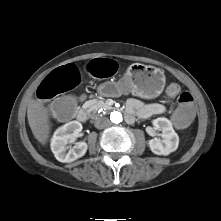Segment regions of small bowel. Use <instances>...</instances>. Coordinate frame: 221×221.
Here are the masks:
<instances>
[{"label":"small bowel","mask_w":221,"mask_h":221,"mask_svg":"<svg viewBox=\"0 0 221 221\" xmlns=\"http://www.w3.org/2000/svg\"><path fill=\"white\" fill-rule=\"evenodd\" d=\"M83 99L84 96L81 97V100ZM165 111V106L160 103H144L137 99H130L127 103V113L133 115L136 112L140 118H149Z\"/></svg>","instance_id":"small-bowel-1"}]
</instances>
